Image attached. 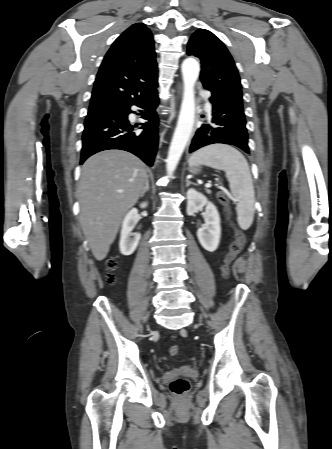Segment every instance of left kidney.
Masks as SVG:
<instances>
[{"instance_id":"5707ae66","label":"left kidney","mask_w":332,"mask_h":449,"mask_svg":"<svg viewBox=\"0 0 332 449\" xmlns=\"http://www.w3.org/2000/svg\"><path fill=\"white\" fill-rule=\"evenodd\" d=\"M187 214L194 215L205 206V224L197 230V237L202 247L214 252L221 238L220 216L216 206L200 192L191 188L187 191Z\"/></svg>"}]
</instances>
